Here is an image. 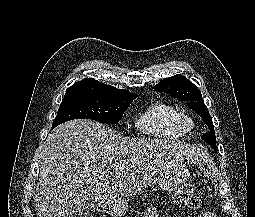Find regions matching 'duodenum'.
<instances>
[{"mask_svg":"<svg viewBox=\"0 0 255 217\" xmlns=\"http://www.w3.org/2000/svg\"><path fill=\"white\" fill-rule=\"evenodd\" d=\"M99 209L101 212L108 213L110 211L111 207L109 204H101L99 206Z\"/></svg>","mask_w":255,"mask_h":217,"instance_id":"1","label":"duodenum"}]
</instances>
